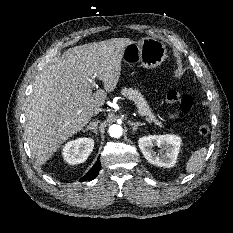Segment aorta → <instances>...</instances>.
<instances>
[{
    "label": "aorta",
    "instance_id": "762f6f07",
    "mask_svg": "<svg viewBox=\"0 0 233 233\" xmlns=\"http://www.w3.org/2000/svg\"><path fill=\"white\" fill-rule=\"evenodd\" d=\"M122 127L117 124H113L109 127V134L111 137L119 138L122 136Z\"/></svg>",
    "mask_w": 233,
    "mask_h": 233
}]
</instances>
